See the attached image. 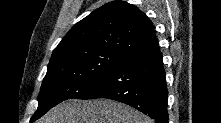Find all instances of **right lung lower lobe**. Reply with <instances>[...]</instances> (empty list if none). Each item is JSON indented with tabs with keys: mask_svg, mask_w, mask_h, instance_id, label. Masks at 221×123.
Masks as SVG:
<instances>
[{
	"mask_svg": "<svg viewBox=\"0 0 221 123\" xmlns=\"http://www.w3.org/2000/svg\"><path fill=\"white\" fill-rule=\"evenodd\" d=\"M108 98L128 104L153 118L167 123L168 90L162 53L158 47L135 52L97 83L88 99Z\"/></svg>",
	"mask_w": 221,
	"mask_h": 123,
	"instance_id": "right-lung-lower-lobe-1",
	"label": "right lung lower lobe"
}]
</instances>
